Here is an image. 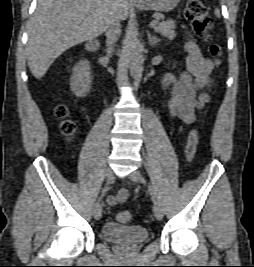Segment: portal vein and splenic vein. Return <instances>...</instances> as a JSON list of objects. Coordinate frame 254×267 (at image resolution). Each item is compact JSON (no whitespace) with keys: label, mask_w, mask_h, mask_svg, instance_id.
<instances>
[{"label":"portal vein and splenic vein","mask_w":254,"mask_h":267,"mask_svg":"<svg viewBox=\"0 0 254 267\" xmlns=\"http://www.w3.org/2000/svg\"><path fill=\"white\" fill-rule=\"evenodd\" d=\"M158 23H159V22H158L157 20H153V21H151V22L149 23V26L153 28V27H155L156 25H158Z\"/></svg>","instance_id":"portal-vein-and-splenic-vein-1"}]
</instances>
